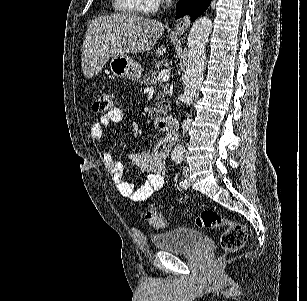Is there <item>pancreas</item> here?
Here are the masks:
<instances>
[{"label": "pancreas", "mask_w": 307, "mask_h": 301, "mask_svg": "<svg viewBox=\"0 0 307 301\" xmlns=\"http://www.w3.org/2000/svg\"><path fill=\"white\" fill-rule=\"evenodd\" d=\"M156 70H147L145 74H143L140 84H145V86H151V84H156ZM159 84V88L155 90L156 94V104L153 106V112H158V114H167L168 110H170V100H169V90L167 82H157ZM155 88V86H154Z\"/></svg>", "instance_id": "1"}]
</instances>
